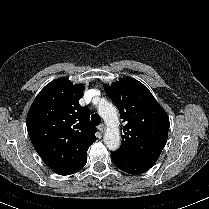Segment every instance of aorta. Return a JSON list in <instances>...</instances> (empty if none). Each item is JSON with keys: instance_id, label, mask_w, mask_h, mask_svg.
<instances>
[{"instance_id": "1", "label": "aorta", "mask_w": 209, "mask_h": 209, "mask_svg": "<svg viewBox=\"0 0 209 209\" xmlns=\"http://www.w3.org/2000/svg\"><path fill=\"white\" fill-rule=\"evenodd\" d=\"M98 112L107 125V129L104 134V143L109 150L116 151L121 145L117 109L112 103L103 100V102L99 105Z\"/></svg>"}]
</instances>
